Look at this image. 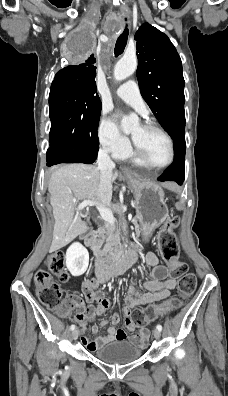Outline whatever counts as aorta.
I'll list each match as a JSON object with an SVG mask.
<instances>
[{
	"label": "aorta",
	"mask_w": 228,
	"mask_h": 396,
	"mask_svg": "<svg viewBox=\"0 0 228 396\" xmlns=\"http://www.w3.org/2000/svg\"><path fill=\"white\" fill-rule=\"evenodd\" d=\"M137 68L136 57H122L114 68V78L116 81H122L132 75ZM138 123V118L136 116H124L121 120V127L124 132H130L134 126ZM120 211V210H119ZM124 231L126 226L123 223Z\"/></svg>",
	"instance_id": "aorta-1"
}]
</instances>
